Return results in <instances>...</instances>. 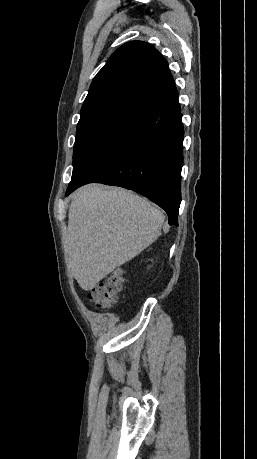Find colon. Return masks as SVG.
Returning a JSON list of instances; mask_svg holds the SVG:
<instances>
[{"label":"colon","mask_w":257,"mask_h":459,"mask_svg":"<svg viewBox=\"0 0 257 459\" xmlns=\"http://www.w3.org/2000/svg\"><path fill=\"white\" fill-rule=\"evenodd\" d=\"M123 276L121 271L111 273L105 281L93 287L88 295L90 302L97 308L114 306L122 291Z\"/></svg>","instance_id":"1"}]
</instances>
